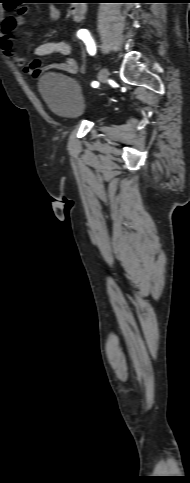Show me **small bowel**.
Returning a JSON list of instances; mask_svg holds the SVG:
<instances>
[{"instance_id": "1", "label": "small bowel", "mask_w": 190, "mask_h": 483, "mask_svg": "<svg viewBox=\"0 0 190 483\" xmlns=\"http://www.w3.org/2000/svg\"><path fill=\"white\" fill-rule=\"evenodd\" d=\"M27 13V7L21 6L17 9L15 15H9L5 17L1 23L0 28V45L3 52L12 60V62L23 69V71L34 79L40 77L42 72L59 70L63 71L69 75H74L78 71V65L76 61L68 57L72 52V47L69 43L62 40H52L46 41L39 44L35 50L34 54L37 57L32 62L27 64L25 60L15 54L14 52V42L12 33L17 29L25 28V14ZM50 16L52 19L56 20L59 18V10L55 6L50 7ZM50 54H60L67 56L65 60L57 63L50 64L49 66L43 67L42 61L39 57L47 56Z\"/></svg>"}]
</instances>
